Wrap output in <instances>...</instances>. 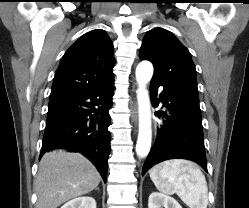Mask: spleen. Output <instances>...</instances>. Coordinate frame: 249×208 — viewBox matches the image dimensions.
<instances>
[{
  "mask_svg": "<svg viewBox=\"0 0 249 208\" xmlns=\"http://www.w3.org/2000/svg\"><path fill=\"white\" fill-rule=\"evenodd\" d=\"M149 175L156 188L177 194L189 208H207L208 187L205 176L191 161L173 159L154 166Z\"/></svg>",
  "mask_w": 249,
  "mask_h": 208,
  "instance_id": "spleen-1",
  "label": "spleen"
}]
</instances>
